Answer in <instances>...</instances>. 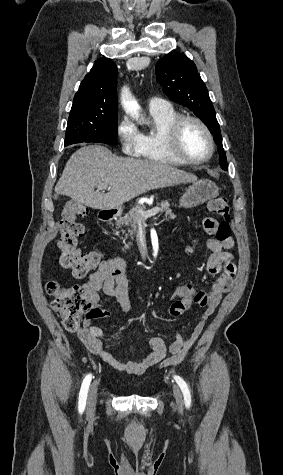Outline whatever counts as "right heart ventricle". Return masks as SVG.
<instances>
[{"label":"right heart ventricle","mask_w":283,"mask_h":475,"mask_svg":"<svg viewBox=\"0 0 283 475\" xmlns=\"http://www.w3.org/2000/svg\"><path fill=\"white\" fill-rule=\"evenodd\" d=\"M149 114L151 123L137 131L143 141L140 157L145 161L165 162L158 152V143L165 135L168 124L180 114L172 105L149 109Z\"/></svg>","instance_id":"e07e8e85"}]
</instances>
